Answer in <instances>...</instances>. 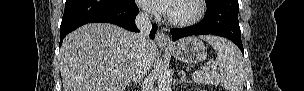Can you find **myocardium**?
Returning a JSON list of instances; mask_svg holds the SVG:
<instances>
[{
    "label": "myocardium",
    "mask_w": 304,
    "mask_h": 91,
    "mask_svg": "<svg viewBox=\"0 0 304 91\" xmlns=\"http://www.w3.org/2000/svg\"><path fill=\"white\" fill-rule=\"evenodd\" d=\"M196 6V12L193 16L183 19H173L169 15H167V19L170 24L179 27L190 26L199 22L206 11V5L204 0H193Z\"/></svg>",
    "instance_id": "obj_1"
}]
</instances>
